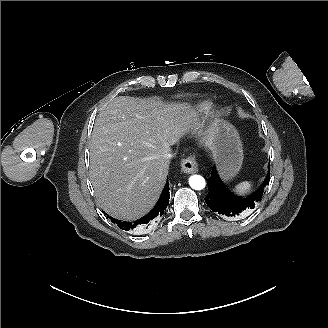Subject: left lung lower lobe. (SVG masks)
Segmentation results:
<instances>
[{"label":"left lung lower lobe","mask_w":328,"mask_h":328,"mask_svg":"<svg viewBox=\"0 0 328 328\" xmlns=\"http://www.w3.org/2000/svg\"><path fill=\"white\" fill-rule=\"evenodd\" d=\"M268 174L261 187L247 197H240L228 190L221 181L215 166L212 169L211 177L207 180L209 193L205 197L208 207L222 216L234 218L248 214L254 209L255 204L260 201L264 186L269 183Z\"/></svg>","instance_id":"left-lung-lower-lobe-1"}]
</instances>
